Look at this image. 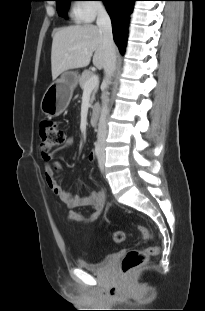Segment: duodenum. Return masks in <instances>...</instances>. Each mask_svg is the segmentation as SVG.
I'll use <instances>...</instances> for the list:
<instances>
[{"label":"duodenum","instance_id":"duodenum-1","mask_svg":"<svg viewBox=\"0 0 205 311\" xmlns=\"http://www.w3.org/2000/svg\"><path fill=\"white\" fill-rule=\"evenodd\" d=\"M98 115H99V106L97 104H94L89 113V120L92 125L97 124L98 121Z\"/></svg>","mask_w":205,"mask_h":311}]
</instances>
